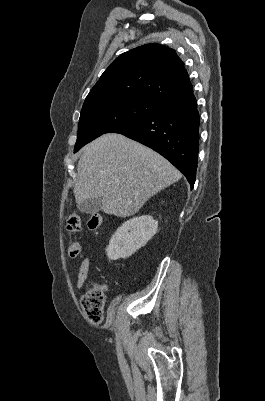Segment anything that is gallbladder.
Segmentation results:
<instances>
[{
    "label": "gallbladder",
    "instance_id": "1",
    "mask_svg": "<svg viewBox=\"0 0 265 401\" xmlns=\"http://www.w3.org/2000/svg\"><path fill=\"white\" fill-rule=\"evenodd\" d=\"M77 209L81 211V213H87V215H97L98 211L102 209V196L87 198V201L77 205Z\"/></svg>",
    "mask_w": 265,
    "mask_h": 401
}]
</instances>
